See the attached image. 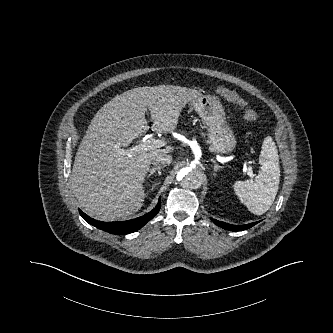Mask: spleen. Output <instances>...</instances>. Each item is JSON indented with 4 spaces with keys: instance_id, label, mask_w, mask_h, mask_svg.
Instances as JSON below:
<instances>
[{
    "instance_id": "1",
    "label": "spleen",
    "mask_w": 333,
    "mask_h": 333,
    "mask_svg": "<svg viewBox=\"0 0 333 333\" xmlns=\"http://www.w3.org/2000/svg\"><path fill=\"white\" fill-rule=\"evenodd\" d=\"M261 169L254 180L236 181L234 190L248 210L261 215L269 210L280 182L279 155L272 137L265 138L259 157Z\"/></svg>"
}]
</instances>
